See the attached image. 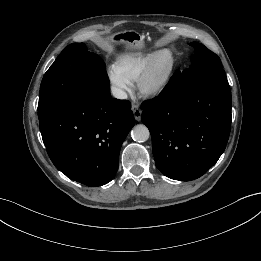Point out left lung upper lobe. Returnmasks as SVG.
<instances>
[{"label":"left lung upper lobe","instance_id":"left-lung-upper-lobe-1","mask_svg":"<svg viewBox=\"0 0 261 261\" xmlns=\"http://www.w3.org/2000/svg\"><path fill=\"white\" fill-rule=\"evenodd\" d=\"M189 45L195 49V55L192 56V64L188 69H185L179 79V91L181 94L185 93L189 85L197 78L208 74H222L226 75L220 58L207 49L204 45L192 42Z\"/></svg>","mask_w":261,"mask_h":261}]
</instances>
